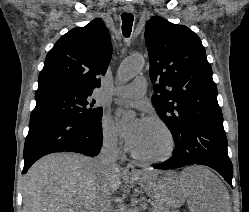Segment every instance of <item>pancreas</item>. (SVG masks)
Returning <instances> with one entry per match:
<instances>
[{
	"label": "pancreas",
	"instance_id": "cf45deb5",
	"mask_svg": "<svg viewBox=\"0 0 249 212\" xmlns=\"http://www.w3.org/2000/svg\"><path fill=\"white\" fill-rule=\"evenodd\" d=\"M151 212H161V210H157V208H153V210H151Z\"/></svg>",
	"mask_w": 249,
	"mask_h": 212
}]
</instances>
